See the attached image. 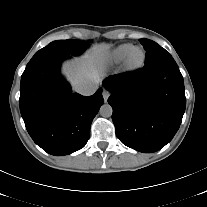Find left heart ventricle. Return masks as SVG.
<instances>
[{
  "instance_id": "b2bd125f",
  "label": "left heart ventricle",
  "mask_w": 207,
  "mask_h": 207,
  "mask_svg": "<svg viewBox=\"0 0 207 207\" xmlns=\"http://www.w3.org/2000/svg\"><path fill=\"white\" fill-rule=\"evenodd\" d=\"M141 59V53L140 52H136L133 56V62H138Z\"/></svg>"
}]
</instances>
